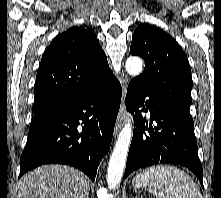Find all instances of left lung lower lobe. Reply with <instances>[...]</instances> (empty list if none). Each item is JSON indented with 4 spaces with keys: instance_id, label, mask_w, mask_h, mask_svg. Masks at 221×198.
<instances>
[{
    "instance_id": "obj_1",
    "label": "left lung lower lobe",
    "mask_w": 221,
    "mask_h": 198,
    "mask_svg": "<svg viewBox=\"0 0 221 198\" xmlns=\"http://www.w3.org/2000/svg\"><path fill=\"white\" fill-rule=\"evenodd\" d=\"M145 97L149 99L145 101ZM126 106L130 112L136 111L137 115L124 177L150 165L172 163L191 170L203 186L194 122L179 115L148 88L135 81L128 86ZM139 107L143 109L139 111ZM148 110L149 124L141 115V112Z\"/></svg>"
}]
</instances>
